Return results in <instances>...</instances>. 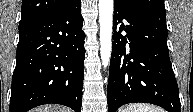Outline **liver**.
Segmentation results:
<instances>
[{"mask_svg": "<svg viewBox=\"0 0 193 112\" xmlns=\"http://www.w3.org/2000/svg\"><path fill=\"white\" fill-rule=\"evenodd\" d=\"M31 112H70V109L61 106H43L32 109Z\"/></svg>", "mask_w": 193, "mask_h": 112, "instance_id": "obj_1", "label": "liver"}]
</instances>
